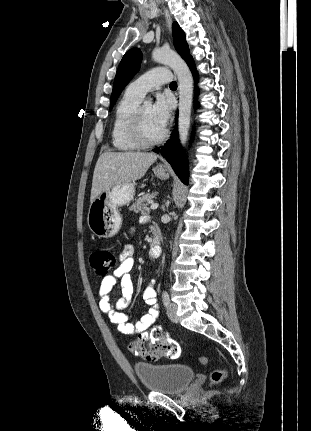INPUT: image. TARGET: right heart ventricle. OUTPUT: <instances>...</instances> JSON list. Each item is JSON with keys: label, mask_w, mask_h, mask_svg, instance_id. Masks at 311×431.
<instances>
[{"label": "right heart ventricle", "mask_w": 311, "mask_h": 431, "mask_svg": "<svg viewBox=\"0 0 311 431\" xmlns=\"http://www.w3.org/2000/svg\"><path fill=\"white\" fill-rule=\"evenodd\" d=\"M142 98L129 92L127 89L116 103L113 124L111 130V141L115 150L130 152L139 149V145L132 139L130 124L132 116L140 105Z\"/></svg>", "instance_id": "1"}]
</instances>
